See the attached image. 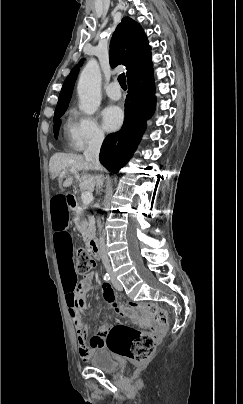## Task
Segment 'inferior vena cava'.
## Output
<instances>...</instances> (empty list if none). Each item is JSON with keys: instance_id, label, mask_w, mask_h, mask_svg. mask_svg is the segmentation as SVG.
<instances>
[{"instance_id": "1", "label": "inferior vena cava", "mask_w": 243, "mask_h": 404, "mask_svg": "<svg viewBox=\"0 0 243 404\" xmlns=\"http://www.w3.org/2000/svg\"><path fill=\"white\" fill-rule=\"evenodd\" d=\"M104 140L103 134H97L94 138H91L87 150L84 152L85 160L91 162L93 170H102L99 162V152ZM96 186L100 188L103 184V176H95ZM99 254L101 256L102 264H105V272L110 274L112 267L109 264L108 254L106 252L105 240L102 234H99Z\"/></svg>"}]
</instances>
